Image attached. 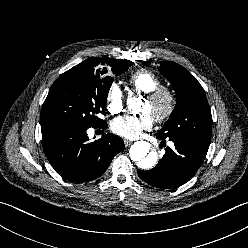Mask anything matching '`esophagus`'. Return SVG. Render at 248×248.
I'll list each match as a JSON object with an SVG mask.
<instances>
[{
    "label": "esophagus",
    "instance_id": "34e87169",
    "mask_svg": "<svg viewBox=\"0 0 248 248\" xmlns=\"http://www.w3.org/2000/svg\"><path fill=\"white\" fill-rule=\"evenodd\" d=\"M132 142L130 140L124 139L125 146H129Z\"/></svg>",
    "mask_w": 248,
    "mask_h": 248
}]
</instances>
